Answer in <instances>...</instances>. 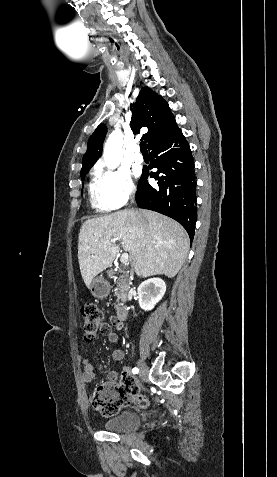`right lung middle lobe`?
Returning <instances> with one entry per match:
<instances>
[{"mask_svg": "<svg viewBox=\"0 0 277 477\" xmlns=\"http://www.w3.org/2000/svg\"><path fill=\"white\" fill-rule=\"evenodd\" d=\"M89 171V169H85V170H81V177H82V180L84 179L85 177V174Z\"/></svg>", "mask_w": 277, "mask_h": 477, "instance_id": "right-lung-middle-lobe-1", "label": "right lung middle lobe"}]
</instances>
